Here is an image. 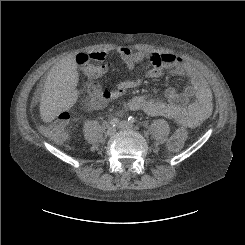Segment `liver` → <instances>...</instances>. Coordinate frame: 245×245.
Wrapping results in <instances>:
<instances>
[{
    "instance_id": "liver-1",
    "label": "liver",
    "mask_w": 245,
    "mask_h": 245,
    "mask_svg": "<svg viewBox=\"0 0 245 245\" xmlns=\"http://www.w3.org/2000/svg\"><path fill=\"white\" fill-rule=\"evenodd\" d=\"M77 65L73 56L57 62L50 70L41 95L40 116L45 123L71 108L77 100Z\"/></svg>"
}]
</instances>
